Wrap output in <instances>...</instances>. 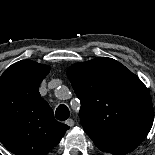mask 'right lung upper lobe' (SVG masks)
Here are the masks:
<instances>
[{"mask_svg":"<svg viewBox=\"0 0 155 155\" xmlns=\"http://www.w3.org/2000/svg\"><path fill=\"white\" fill-rule=\"evenodd\" d=\"M49 71L26 59L0 77V141L15 155H46L69 129L40 96L39 85Z\"/></svg>","mask_w":155,"mask_h":155,"instance_id":"1","label":"right lung upper lobe"}]
</instances>
